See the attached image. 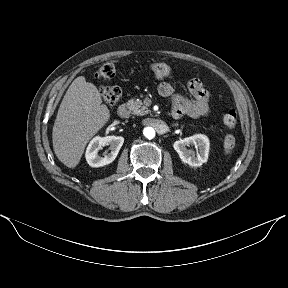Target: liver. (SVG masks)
<instances>
[{
  "mask_svg": "<svg viewBox=\"0 0 288 288\" xmlns=\"http://www.w3.org/2000/svg\"><path fill=\"white\" fill-rule=\"evenodd\" d=\"M110 111L97 87L77 77L60 104L53 126V149L68 168L78 165L89 140L108 122Z\"/></svg>",
  "mask_w": 288,
  "mask_h": 288,
  "instance_id": "obj_1",
  "label": "liver"
}]
</instances>
